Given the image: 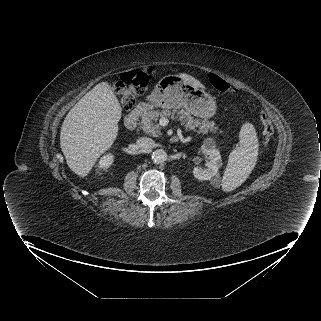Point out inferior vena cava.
Returning <instances> with one entry per match:
<instances>
[{
  "instance_id": "602c4592",
  "label": "inferior vena cava",
  "mask_w": 321,
  "mask_h": 321,
  "mask_svg": "<svg viewBox=\"0 0 321 321\" xmlns=\"http://www.w3.org/2000/svg\"><path fill=\"white\" fill-rule=\"evenodd\" d=\"M136 145L140 150L146 151L155 146V142L148 137H141L136 141Z\"/></svg>"
}]
</instances>
